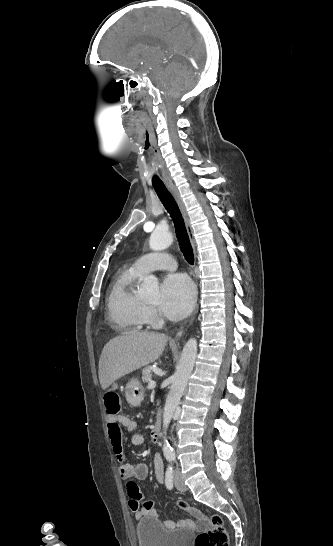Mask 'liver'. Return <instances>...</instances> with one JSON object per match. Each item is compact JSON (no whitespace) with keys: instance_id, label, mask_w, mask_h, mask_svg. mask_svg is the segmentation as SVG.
Instances as JSON below:
<instances>
[{"instance_id":"liver-1","label":"liver","mask_w":333,"mask_h":546,"mask_svg":"<svg viewBox=\"0 0 333 546\" xmlns=\"http://www.w3.org/2000/svg\"><path fill=\"white\" fill-rule=\"evenodd\" d=\"M167 343L164 334L128 333L110 340L99 359V380L103 390L120 377L154 362Z\"/></svg>"}]
</instances>
